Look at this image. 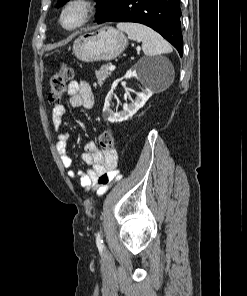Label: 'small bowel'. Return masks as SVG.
I'll return each mask as SVG.
<instances>
[{"label": "small bowel", "instance_id": "small-bowel-1", "mask_svg": "<svg viewBox=\"0 0 247 296\" xmlns=\"http://www.w3.org/2000/svg\"><path fill=\"white\" fill-rule=\"evenodd\" d=\"M67 93L72 107L91 108L93 106V92L86 81L73 80L69 82ZM66 114L67 111L63 105L55 106L51 114L52 124L57 134L56 149L66 170V175L71 181H79L86 191L94 190L98 196H101L106 193L108 184L117 175L116 152L115 150L101 151L95 142H88L85 145L82 158L91 168L86 171L76 168L67 150L70 135L67 131L60 129L62 119ZM103 175L109 176L108 184L99 182Z\"/></svg>", "mask_w": 247, "mask_h": 296}]
</instances>
